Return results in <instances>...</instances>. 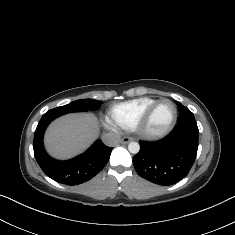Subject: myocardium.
<instances>
[{
    "label": "myocardium",
    "mask_w": 235,
    "mask_h": 235,
    "mask_svg": "<svg viewBox=\"0 0 235 235\" xmlns=\"http://www.w3.org/2000/svg\"><path fill=\"white\" fill-rule=\"evenodd\" d=\"M164 101H168L174 106V109H175L174 117L171 120L170 124L164 130L159 131V132H152L149 130V125H150L153 113L156 107L161 102H164ZM177 120H178V107L176 103L169 98L163 97L154 101V103L150 106V108L147 110V112L142 117V119L138 121L137 124L134 126L133 130L136 133V135L142 140H147V141L158 140L167 136L174 129L177 123Z\"/></svg>",
    "instance_id": "1"
}]
</instances>
